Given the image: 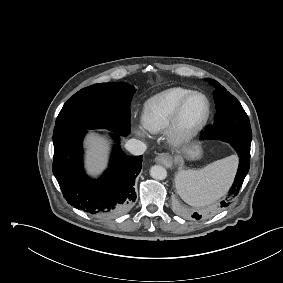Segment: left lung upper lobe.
Segmentation results:
<instances>
[{"mask_svg": "<svg viewBox=\"0 0 283 283\" xmlns=\"http://www.w3.org/2000/svg\"><path fill=\"white\" fill-rule=\"evenodd\" d=\"M210 83L216 88L213 96L217 113L206 134L211 139L251 145L250 121L240 102L217 81L210 80Z\"/></svg>", "mask_w": 283, "mask_h": 283, "instance_id": "left-lung-upper-lobe-1", "label": "left lung upper lobe"}]
</instances>
